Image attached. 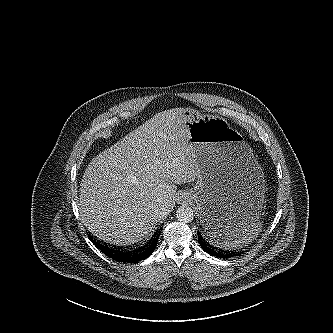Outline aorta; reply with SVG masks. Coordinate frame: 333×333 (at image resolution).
I'll use <instances>...</instances> for the list:
<instances>
[{
    "mask_svg": "<svg viewBox=\"0 0 333 333\" xmlns=\"http://www.w3.org/2000/svg\"><path fill=\"white\" fill-rule=\"evenodd\" d=\"M176 218L183 223L192 222L194 219V210L188 205H182L176 211Z\"/></svg>",
    "mask_w": 333,
    "mask_h": 333,
    "instance_id": "obj_1",
    "label": "aorta"
}]
</instances>
